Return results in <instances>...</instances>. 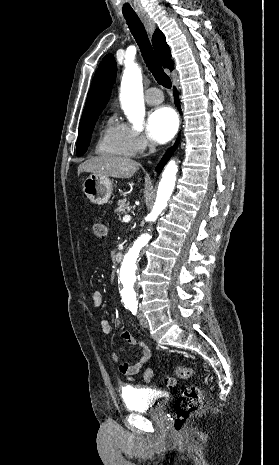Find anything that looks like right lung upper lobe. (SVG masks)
Segmentation results:
<instances>
[{
	"label": "right lung upper lobe",
	"instance_id": "cb5924a9",
	"mask_svg": "<svg viewBox=\"0 0 279 465\" xmlns=\"http://www.w3.org/2000/svg\"><path fill=\"white\" fill-rule=\"evenodd\" d=\"M154 49L163 67L173 70L170 48L166 43L164 34L157 29L152 37ZM116 62L112 54L106 55L95 73L91 88L87 95L86 106L80 120L79 127L88 125L100 115L105 108L116 81Z\"/></svg>",
	"mask_w": 279,
	"mask_h": 465
}]
</instances>
